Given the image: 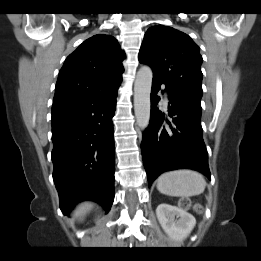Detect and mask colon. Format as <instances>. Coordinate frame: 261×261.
<instances>
[{"mask_svg": "<svg viewBox=\"0 0 261 261\" xmlns=\"http://www.w3.org/2000/svg\"><path fill=\"white\" fill-rule=\"evenodd\" d=\"M180 204L182 207H188L190 205V201H189V199L185 198V199H182ZM196 210L200 211L201 209L199 206H196Z\"/></svg>", "mask_w": 261, "mask_h": 261, "instance_id": "obj_1", "label": "colon"}]
</instances>
